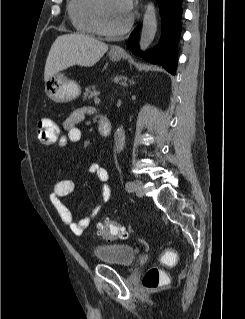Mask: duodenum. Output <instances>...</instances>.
<instances>
[{
    "label": "duodenum",
    "instance_id": "1",
    "mask_svg": "<svg viewBox=\"0 0 245 319\" xmlns=\"http://www.w3.org/2000/svg\"><path fill=\"white\" fill-rule=\"evenodd\" d=\"M98 129H99V132L100 134L103 136V137H107L111 134V131H112V125H111V122L110 120L108 119V117L106 116H101L99 118V121H98Z\"/></svg>",
    "mask_w": 245,
    "mask_h": 319
}]
</instances>
